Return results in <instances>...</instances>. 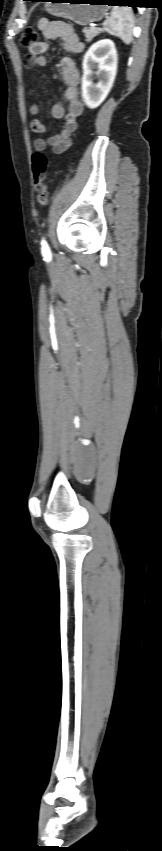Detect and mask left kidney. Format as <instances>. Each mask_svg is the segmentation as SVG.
<instances>
[{"instance_id": "obj_1", "label": "left kidney", "mask_w": 162, "mask_h": 851, "mask_svg": "<svg viewBox=\"0 0 162 851\" xmlns=\"http://www.w3.org/2000/svg\"><path fill=\"white\" fill-rule=\"evenodd\" d=\"M117 61L115 45L109 39L94 43L85 53L82 63V98L88 108H97L107 97L116 76ZM94 74L99 78L97 83H94Z\"/></svg>"}]
</instances>
